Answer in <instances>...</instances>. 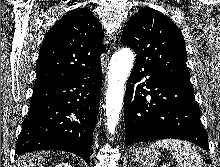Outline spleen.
Listing matches in <instances>:
<instances>
[{
  "label": "spleen",
  "instance_id": "3e777b00",
  "mask_svg": "<svg viewBox=\"0 0 220 167\" xmlns=\"http://www.w3.org/2000/svg\"><path fill=\"white\" fill-rule=\"evenodd\" d=\"M163 147L169 150L178 161L177 167H202L203 159L190 143L178 139H162L152 143L148 148Z\"/></svg>",
  "mask_w": 220,
  "mask_h": 167
}]
</instances>
